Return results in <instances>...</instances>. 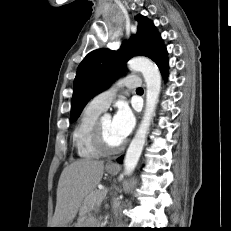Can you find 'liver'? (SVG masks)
Instances as JSON below:
<instances>
[{"mask_svg": "<svg viewBox=\"0 0 231 231\" xmlns=\"http://www.w3.org/2000/svg\"><path fill=\"white\" fill-rule=\"evenodd\" d=\"M104 162L80 159L64 168L57 188L52 228L67 226L76 217L83 201L100 183Z\"/></svg>", "mask_w": 231, "mask_h": 231, "instance_id": "1", "label": "liver"}]
</instances>
